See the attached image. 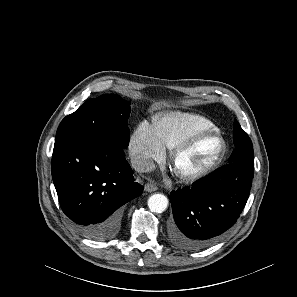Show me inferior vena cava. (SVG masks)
I'll return each instance as SVG.
<instances>
[{
	"mask_svg": "<svg viewBox=\"0 0 297 297\" xmlns=\"http://www.w3.org/2000/svg\"><path fill=\"white\" fill-rule=\"evenodd\" d=\"M131 165L137 172H149L154 169L153 161L146 157L133 156L131 157Z\"/></svg>",
	"mask_w": 297,
	"mask_h": 297,
	"instance_id": "obj_1",
	"label": "inferior vena cava"
}]
</instances>
